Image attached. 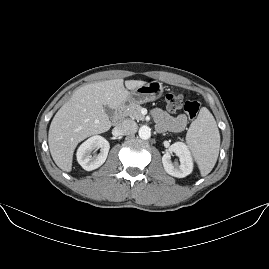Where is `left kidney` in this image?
<instances>
[{
	"label": "left kidney",
	"instance_id": "5707ae66",
	"mask_svg": "<svg viewBox=\"0 0 269 269\" xmlns=\"http://www.w3.org/2000/svg\"><path fill=\"white\" fill-rule=\"evenodd\" d=\"M171 153H175L180 160L171 161ZM162 163L165 171L174 177L183 178L189 175L193 170V161L188 147L183 142H175L162 157Z\"/></svg>",
	"mask_w": 269,
	"mask_h": 269
}]
</instances>
